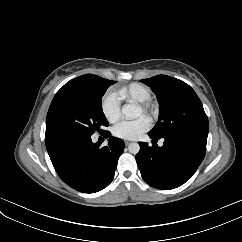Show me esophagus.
<instances>
[{
	"label": "esophagus",
	"instance_id": "esophagus-1",
	"mask_svg": "<svg viewBox=\"0 0 242 242\" xmlns=\"http://www.w3.org/2000/svg\"><path fill=\"white\" fill-rule=\"evenodd\" d=\"M125 144H126V145H129V144H130V141H125Z\"/></svg>",
	"mask_w": 242,
	"mask_h": 242
}]
</instances>
